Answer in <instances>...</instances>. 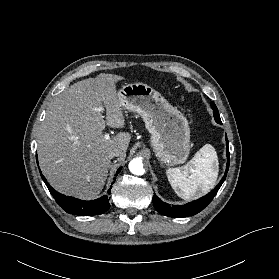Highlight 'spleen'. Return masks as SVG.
<instances>
[{
	"label": "spleen",
	"instance_id": "spleen-1",
	"mask_svg": "<svg viewBox=\"0 0 279 279\" xmlns=\"http://www.w3.org/2000/svg\"><path fill=\"white\" fill-rule=\"evenodd\" d=\"M218 169L217 153L212 145L206 144L186 165L169 168L166 175L176 194L188 200L199 197L213 188Z\"/></svg>",
	"mask_w": 279,
	"mask_h": 279
}]
</instances>
